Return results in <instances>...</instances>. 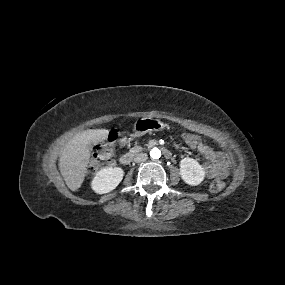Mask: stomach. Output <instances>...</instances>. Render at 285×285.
<instances>
[{"label":"stomach","mask_w":285,"mask_h":285,"mask_svg":"<svg viewBox=\"0 0 285 285\" xmlns=\"http://www.w3.org/2000/svg\"><path fill=\"white\" fill-rule=\"evenodd\" d=\"M145 126L146 128H144ZM160 126H162V123L157 120L149 118L141 119L136 125V134L143 135L147 132L155 131Z\"/></svg>","instance_id":"0dacf381"}]
</instances>
